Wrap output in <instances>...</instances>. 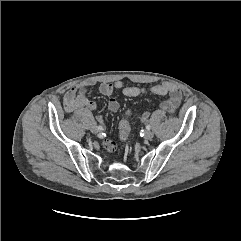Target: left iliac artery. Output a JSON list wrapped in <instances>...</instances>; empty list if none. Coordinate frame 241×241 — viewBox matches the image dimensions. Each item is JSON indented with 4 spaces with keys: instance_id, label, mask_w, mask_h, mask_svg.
Here are the masks:
<instances>
[{
    "instance_id": "1",
    "label": "left iliac artery",
    "mask_w": 241,
    "mask_h": 241,
    "mask_svg": "<svg viewBox=\"0 0 241 241\" xmlns=\"http://www.w3.org/2000/svg\"><path fill=\"white\" fill-rule=\"evenodd\" d=\"M146 129H147V130H150V129H151V126H150V125H146Z\"/></svg>"
}]
</instances>
